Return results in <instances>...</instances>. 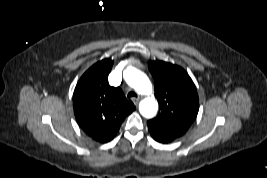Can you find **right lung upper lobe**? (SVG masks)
<instances>
[{
	"instance_id": "obj_1",
	"label": "right lung upper lobe",
	"mask_w": 267,
	"mask_h": 178,
	"mask_svg": "<svg viewBox=\"0 0 267 178\" xmlns=\"http://www.w3.org/2000/svg\"><path fill=\"white\" fill-rule=\"evenodd\" d=\"M113 66L109 58L90 67L78 81L73 94V107L81 129L93 140L101 143L111 141L125 117L135 110L120 87L108 83Z\"/></svg>"
}]
</instances>
